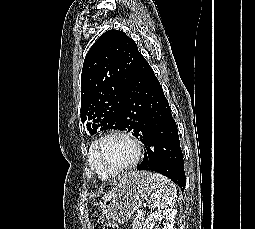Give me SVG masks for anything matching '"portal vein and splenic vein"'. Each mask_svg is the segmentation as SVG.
Segmentation results:
<instances>
[{
	"label": "portal vein and splenic vein",
	"instance_id": "portal-vein-and-splenic-vein-1",
	"mask_svg": "<svg viewBox=\"0 0 255 229\" xmlns=\"http://www.w3.org/2000/svg\"><path fill=\"white\" fill-rule=\"evenodd\" d=\"M138 213H139V214H142V215L144 214V212H142L141 210H139Z\"/></svg>",
	"mask_w": 255,
	"mask_h": 229
}]
</instances>
